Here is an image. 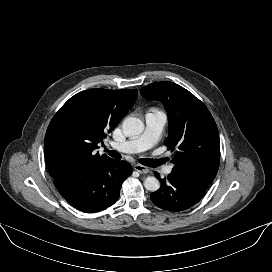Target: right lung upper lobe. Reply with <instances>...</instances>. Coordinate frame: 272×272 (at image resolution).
<instances>
[{"instance_id": "obj_1", "label": "right lung upper lobe", "mask_w": 272, "mask_h": 272, "mask_svg": "<svg viewBox=\"0 0 272 272\" xmlns=\"http://www.w3.org/2000/svg\"><path fill=\"white\" fill-rule=\"evenodd\" d=\"M137 90L90 89L71 97L51 120L44 141L52 178L85 171L109 157L95 153L133 106Z\"/></svg>"}]
</instances>
